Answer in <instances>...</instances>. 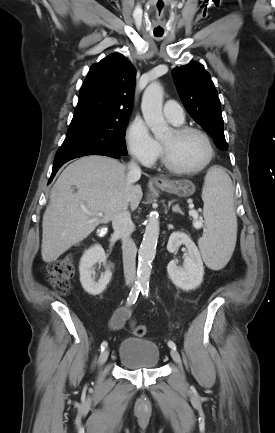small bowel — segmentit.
Here are the masks:
<instances>
[{
	"mask_svg": "<svg viewBox=\"0 0 275 433\" xmlns=\"http://www.w3.org/2000/svg\"><path fill=\"white\" fill-rule=\"evenodd\" d=\"M131 313L132 309L130 307H119L110 318L109 327L114 331L121 329L126 321L131 318ZM130 325L131 327L134 325V320L130 321Z\"/></svg>",
	"mask_w": 275,
	"mask_h": 433,
	"instance_id": "c3829d8e",
	"label": "small bowel"
}]
</instances>
